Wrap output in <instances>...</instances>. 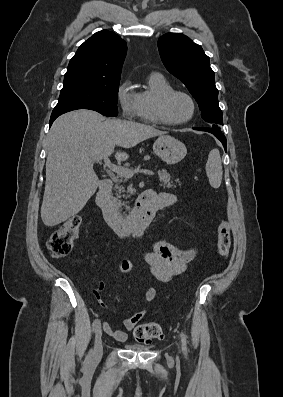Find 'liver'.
<instances>
[{"label": "liver", "mask_w": 283, "mask_h": 397, "mask_svg": "<svg viewBox=\"0 0 283 397\" xmlns=\"http://www.w3.org/2000/svg\"><path fill=\"white\" fill-rule=\"evenodd\" d=\"M165 133L152 126L127 121L105 120L99 113L79 109L53 123L48 136L46 184L41 218L56 226L79 213L96 192L99 179L93 170L97 158L125 149ZM117 161H126V152H116Z\"/></svg>", "instance_id": "obj_1"}]
</instances>
